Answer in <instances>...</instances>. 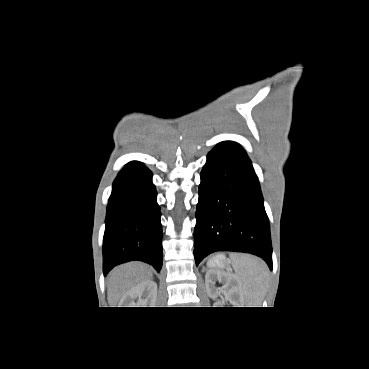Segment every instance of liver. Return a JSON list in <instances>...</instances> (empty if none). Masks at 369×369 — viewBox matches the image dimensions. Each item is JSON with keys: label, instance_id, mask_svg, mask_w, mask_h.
<instances>
[{"label": "liver", "instance_id": "6515ba94", "mask_svg": "<svg viewBox=\"0 0 369 369\" xmlns=\"http://www.w3.org/2000/svg\"><path fill=\"white\" fill-rule=\"evenodd\" d=\"M149 266L130 262L114 268L107 280V300L110 307H116L119 299L137 284L152 279Z\"/></svg>", "mask_w": 369, "mask_h": 369}]
</instances>
